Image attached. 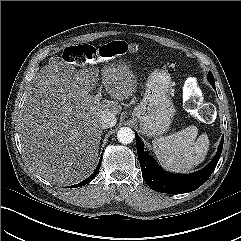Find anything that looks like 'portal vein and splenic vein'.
Listing matches in <instances>:
<instances>
[{
  "label": "portal vein and splenic vein",
  "mask_w": 241,
  "mask_h": 241,
  "mask_svg": "<svg viewBox=\"0 0 241 241\" xmlns=\"http://www.w3.org/2000/svg\"><path fill=\"white\" fill-rule=\"evenodd\" d=\"M101 92H102V90H101V88H100V89L98 90L97 94L95 95V98H96L97 100H99V99L102 98Z\"/></svg>",
  "instance_id": "1"
}]
</instances>
